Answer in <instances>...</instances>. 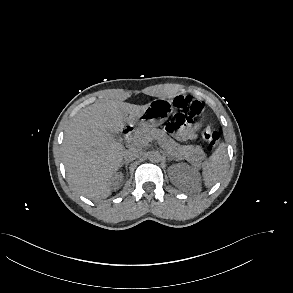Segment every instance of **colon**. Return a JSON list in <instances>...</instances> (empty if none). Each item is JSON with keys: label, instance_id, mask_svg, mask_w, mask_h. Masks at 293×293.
I'll use <instances>...</instances> for the list:
<instances>
[{"label": "colon", "instance_id": "5ec220e1", "mask_svg": "<svg viewBox=\"0 0 293 293\" xmlns=\"http://www.w3.org/2000/svg\"><path fill=\"white\" fill-rule=\"evenodd\" d=\"M176 109L174 116L167 122L166 131L170 134L180 135L187 124L200 116L203 112V105L198 100H191L185 96H178L173 101ZM204 140L209 146L215 147L220 139L219 133L205 125L202 131Z\"/></svg>", "mask_w": 293, "mask_h": 293}]
</instances>
